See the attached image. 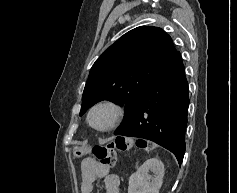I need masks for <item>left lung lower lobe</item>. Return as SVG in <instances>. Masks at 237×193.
<instances>
[{"label":"left lung lower lobe","instance_id":"1","mask_svg":"<svg viewBox=\"0 0 237 193\" xmlns=\"http://www.w3.org/2000/svg\"><path fill=\"white\" fill-rule=\"evenodd\" d=\"M189 105L179 52L144 93L130 123L115 135L151 140L171 151L181 165Z\"/></svg>","mask_w":237,"mask_h":193}]
</instances>
